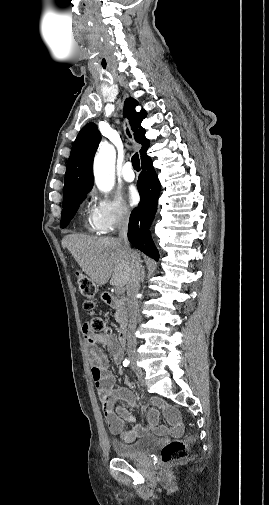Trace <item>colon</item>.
<instances>
[{
    "instance_id": "5ec220e1",
    "label": "colon",
    "mask_w": 269,
    "mask_h": 505,
    "mask_svg": "<svg viewBox=\"0 0 269 505\" xmlns=\"http://www.w3.org/2000/svg\"><path fill=\"white\" fill-rule=\"evenodd\" d=\"M78 287L84 297V308L91 314L96 309V286L95 283L83 274L78 275ZM86 328L92 334L107 333L109 328L105 320L98 316H92ZM188 441L172 440L166 443L161 449V458L164 463H174L186 457Z\"/></svg>"
}]
</instances>
